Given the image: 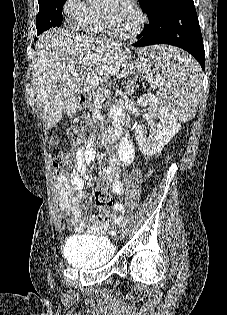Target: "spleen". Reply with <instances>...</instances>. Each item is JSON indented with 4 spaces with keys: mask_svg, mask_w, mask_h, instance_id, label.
I'll return each mask as SVG.
<instances>
[{
    "mask_svg": "<svg viewBox=\"0 0 227 315\" xmlns=\"http://www.w3.org/2000/svg\"><path fill=\"white\" fill-rule=\"evenodd\" d=\"M144 53L161 71V82L155 86H160L162 105L177 120L186 122L194 118L202 93L198 63L174 47L155 46Z\"/></svg>",
    "mask_w": 227,
    "mask_h": 315,
    "instance_id": "obj_1",
    "label": "spleen"
}]
</instances>
